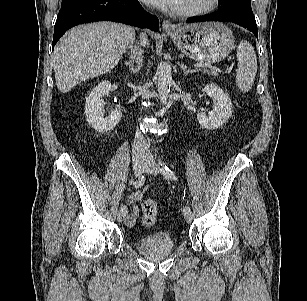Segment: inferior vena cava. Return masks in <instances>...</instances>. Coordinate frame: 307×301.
<instances>
[{
	"label": "inferior vena cava",
	"instance_id": "inferior-vena-cava-1",
	"mask_svg": "<svg viewBox=\"0 0 307 301\" xmlns=\"http://www.w3.org/2000/svg\"><path fill=\"white\" fill-rule=\"evenodd\" d=\"M142 44V43H141ZM131 58L136 60V63L140 65L143 61L142 50L138 47L131 46ZM142 98L146 99L149 97V92L147 89L141 90ZM147 150L146 141L144 136L139 130L136 131L132 153L133 155L144 154Z\"/></svg>",
	"mask_w": 307,
	"mask_h": 301
}]
</instances>
